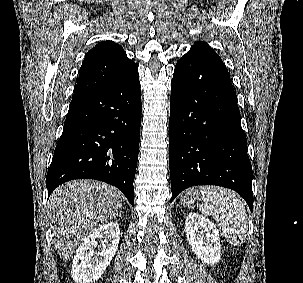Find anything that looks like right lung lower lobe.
Here are the masks:
<instances>
[{
	"instance_id": "98d812e1",
	"label": "right lung lower lobe",
	"mask_w": 303,
	"mask_h": 283,
	"mask_svg": "<svg viewBox=\"0 0 303 283\" xmlns=\"http://www.w3.org/2000/svg\"><path fill=\"white\" fill-rule=\"evenodd\" d=\"M140 125L138 74L110 89L73 99L47 173L48 195L69 180L95 179L119 188L134 206Z\"/></svg>"
}]
</instances>
